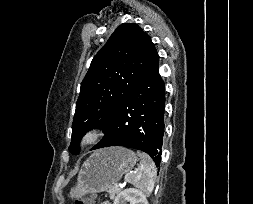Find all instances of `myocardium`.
Here are the masks:
<instances>
[{"instance_id": "1", "label": "myocardium", "mask_w": 253, "mask_h": 204, "mask_svg": "<svg viewBox=\"0 0 253 204\" xmlns=\"http://www.w3.org/2000/svg\"><path fill=\"white\" fill-rule=\"evenodd\" d=\"M104 133L99 128H92L83 133L78 141V148L81 151L87 150L96 145L103 137Z\"/></svg>"}]
</instances>
